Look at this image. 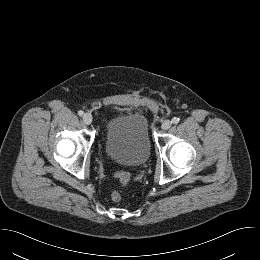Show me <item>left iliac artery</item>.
I'll use <instances>...</instances> for the list:
<instances>
[{
	"label": "left iliac artery",
	"mask_w": 260,
	"mask_h": 260,
	"mask_svg": "<svg viewBox=\"0 0 260 260\" xmlns=\"http://www.w3.org/2000/svg\"><path fill=\"white\" fill-rule=\"evenodd\" d=\"M179 118H177V117H174L173 119H172V123H174V124H177L178 122H179Z\"/></svg>",
	"instance_id": "1"
}]
</instances>
